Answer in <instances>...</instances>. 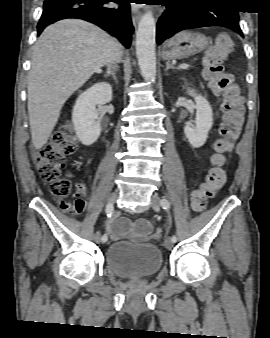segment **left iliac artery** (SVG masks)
<instances>
[{"label":"left iliac artery","mask_w":270,"mask_h":338,"mask_svg":"<svg viewBox=\"0 0 270 338\" xmlns=\"http://www.w3.org/2000/svg\"><path fill=\"white\" fill-rule=\"evenodd\" d=\"M161 206H162L163 209L168 210L169 207H170V203H169V201H168L166 198H163V199L161 200ZM171 241H172L173 243H175V242L177 241V237H176L175 235H173V236L171 237Z\"/></svg>","instance_id":"left-iliac-artery-1"}]
</instances>
